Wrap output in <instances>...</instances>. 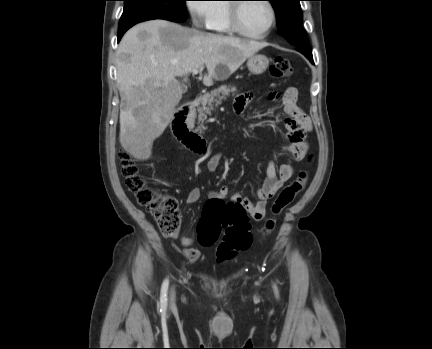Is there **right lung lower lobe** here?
I'll list each match as a JSON object with an SVG mask.
<instances>
[{"instance_id":"obj_1","label":"right lung lower lobe","mask_w":432,"mask_h":349,"mask_svg":"<svg viewBox=\"0 0 432 349\" xmlns=\"http://www.w3.org/2000/svg\"><path fill=\"white\" fill-rule=\"evenodd\" d=\"M135 25V24H134ZM133 25H129V26H126V27H122V28H120V30H119V32H118V35H117V37H118V42L121 40V38H122V36L124 35V33L130 28V27H132Z\"/></svg>"}]
</instances>
